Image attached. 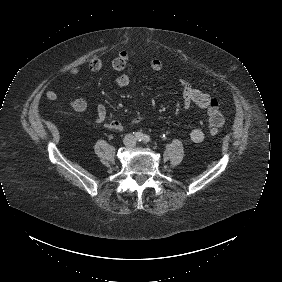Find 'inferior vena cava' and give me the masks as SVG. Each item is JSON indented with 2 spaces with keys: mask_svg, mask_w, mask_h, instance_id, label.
<instances>
[{
  "mask_svg": "<svg viewBox=\"0 0 282 282\" xmlns=\"http://www.w3.org/2000/svg\"><path fill=\"white\" fill-rule=\"evenodd\" d=\"M133 137H134V136H133ZM126 138H127V136H126ZM133 142L136 143L135 138L133 139Z\"/></svg>",
  "mask_w": 282,
  "mask_h": 282,
  "instance_id": "inferior-vena-cava-1",
  "label": "inferior vena cava"
}]
</instances>
